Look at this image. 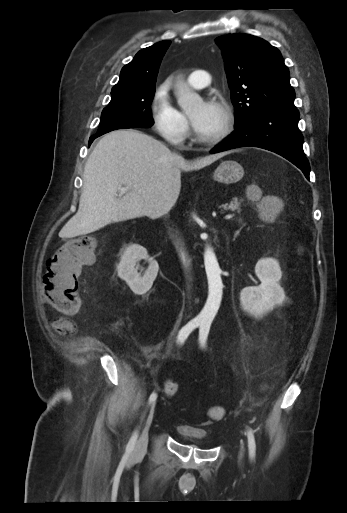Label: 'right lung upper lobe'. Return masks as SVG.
Returning <instances> with one entry per match:
<instances>
[{
    "label": "right lung upper lobe",
    "mask_w": 347,
    "mask_h": 513,
    "mask_svg": "<svg viewBox=\"0 0 347 513\" xmlns=\"http://www.w3.org/2000/svg\"><path fill=\"white\" fill-rule=\"evenodd\" d=\"M171 41L164 40L140 50L120 72L118 83L112 91L126 88L155 87L161 60Z\"/></svg>",
    "instance_id": "1"
}]
</instances>
